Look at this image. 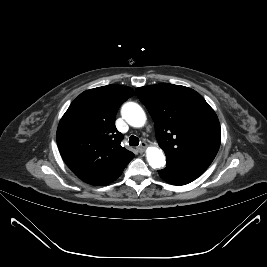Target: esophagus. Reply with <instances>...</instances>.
I'll return each instance as SVG.
<instances>
[{
	"label": "esophagus",
	"instance_id": "esophagus-1",
	"mask_svg": "<svg viewBox=\"0 0 267 267\" xmlns=\"http://www.w3.org/2000/svg\"><path fill=\"white\" fill-rule=\"evenodd\" d=\"M147 144L145 142H143L139 147H138V151L140 153L144 152V150L146 149Z\"/></svg>",
	"mask_w": 267,
	"mask_h": 267
}]
</instances>
